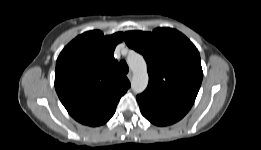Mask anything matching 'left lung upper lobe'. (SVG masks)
I'll use <instances>...</instances> for the list:
<instances>
[{
    "label": "left lung upper lobe",
    "mask_w": 261,
    "mask_h": 150,
    "mask_svg": "<svg viewBox=\"0 0 261 150\" xmlns=\"http://www.w3.org/2000/svg\"><path fill=\"white\" fill-rule=\"evenodd\" d=\"M126 44L144 55L149 83L140 96L188 112L198 94L203 71L200 54L182 33L171 28L128 31Z\"/></svg>",
    "instance_id": "left-lung-upper-lobe-1"
}]
</instances>
